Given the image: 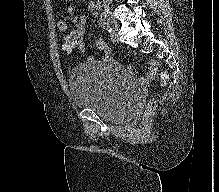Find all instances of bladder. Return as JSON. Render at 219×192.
Returning a JSON list of instances; mask_svg holds the SVG:
<instances>
[{
	"mask_svg": "<svg viewBox=\"0 0 219 192\" xmlns=\"http://www.w3.org/2000/svg\"><path fill=\"white\" fill-rule=\"evenodd\" d=\"M75 105L89 109L113 123L132 119L142 105V95L126 72L114 63L85 62L67 76Z\"/></svg>",
	"mask_w": 219,
	"mask_h": 192,
	"instance_id": "31cf9c89",
	"label": "bladder"
}]
</instances>
